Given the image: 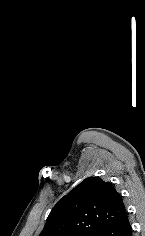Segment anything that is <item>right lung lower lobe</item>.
I'll return each instance as SVG.
<instances>
[{
    "mask_svg": "<svg viewBox=\"0 0 145 236\" xmlns=\"http://www.w3.org/2000/svg\"><path fill=\"white\" fill-rule=\"evenodd\" d=\"M96 236H132L128 213L125 212L122 216L101 230Z\"/></svg>",
    "mask_w": 145,
    "mask_h": 236,
    "instance_id": "right-lung-lower-lobe-1",
    "label": "right lung lower lobe"
}]
</instances>
